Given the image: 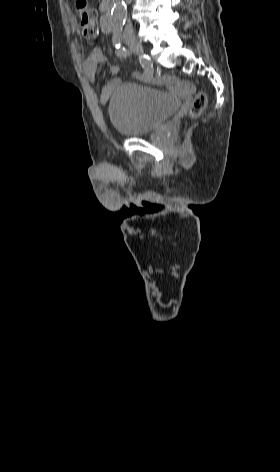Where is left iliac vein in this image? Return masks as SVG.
I'll list each match as a JSON object with an SVG mask.
<instances>
[{
  "label": "left iliac vein",
  "instance_id": "4c4485c4",
  "mask_svg": "<svg viewBox=\"0 0 280 472\" xmlns=\"http://www.w3.org/2000/svg\"><path fill=\"white\" fill-rule=\"evenodd\" d=\"M123 39H124L125 42H127L128 36H127V35H124V36H123Z\"/></svg>",
  "mask_w": 280,
  "mask_h": 472
}]
</instances>
